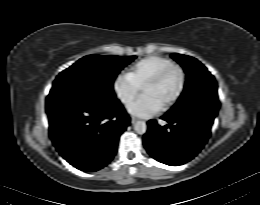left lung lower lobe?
<instances>
[{"instance_id": "left-lung-lower-lobe-1", "label": "left lung lower lobe", "mask_w": 260, "mask_h": 205, "mask_svg": "<svg viewBox=\"0 0 260 205\" xmlns=\"http://www.w3.org/2000/svg\"><path fill=\"white\" fill-rule=\"evenodd\" d=\"M160 126L155 120L148 122L143 137L148 153L156 160L170 165H182L193 159L210 136L214 118L196 113H166Z\"/></svg>"}]
</instances>
